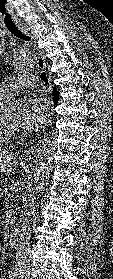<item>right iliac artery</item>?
<instances>
[{
	"instance_id": "1",
	"label": "right iliac artery",
	"mask_w": 113,
	"mask_h": 279,
	"mask_svg": "<svg viewBox=\"0 0 113 279\" xmlns=\"http://www.w3.org/2000/svg\"><path fill=\"white\" fill-rule=\"evenodd\" d=\"M16 274H17L16 270L11 271V272H10V275H9L10 279H14V277L16 276Z\"/></svg>"
}]
</instances>
